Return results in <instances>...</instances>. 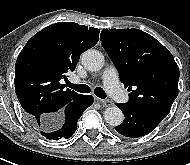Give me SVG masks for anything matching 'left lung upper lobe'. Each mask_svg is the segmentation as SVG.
I'll list each match as a JSON object with an SVG mask.
<instances>
[{"instance_id": "obj_1", "label": "left lung upper lobe", "mask_w": 190, "mask_h": 165, "mask_svg": "<svg viewBox=\"0 0 190 165\" xmlns=\"http://www.w3.org/2000/svg\"><path fill=\"white\" fill-rule=\"evenodd\" d=\"M100 40L128 88V104L169 113L179 69L166 47L139 29H104Z\"/></svg>"}]
</instances>
